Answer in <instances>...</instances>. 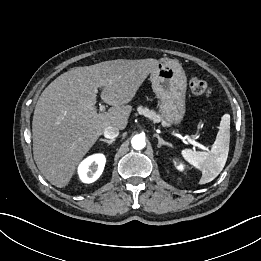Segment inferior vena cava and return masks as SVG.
Masks as SVG:
<instances>
[{
	"instance_id": "obj_1",
	"label": "inferior vena cava",
	"mask_w": 261,
	"mask_h": 261,
	"mask_svg": "<svg viewBox=\"0 0 261 261\" xmlns=\"http://www.w3.org/2000/svg\"><path fill=\"white\" fill-rule=\"evenodd\" d=\"M103 135L107 139H115L119 135V129L114 126H108L104 129Z\"/></svg>"
}]
</instances>
